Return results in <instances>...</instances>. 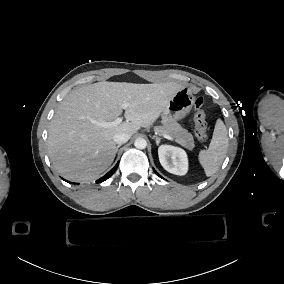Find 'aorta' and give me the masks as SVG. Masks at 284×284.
<instances>
[{
	"mask_svg": "<svg viewBox=\"0 0 284 284\" xmlns=\"http://www.w3.org/2000/svg\"><path fill=\"white\" fill-rule=\"evenodd\" d=\"M134 145L138 149H145L147 146V141L143 138H137L134 142Z\"/></svg>",
	"mask_w": 284,
	"mask_h": 284,
	"instance_id": "aorta-1",
	"label": "aorta"
}]
</instances>
